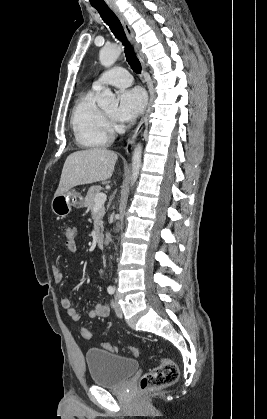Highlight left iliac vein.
Returning <instances> with one entry per match:
<instances>
[{"label": "left iliac vein", "mask_w": 267, "mask_h": 419, "mask_svg": "<svg viewBox=\"0 0 267 419\" xmlns=\"http://www.w3.org/2000/svg\"><path fill=\"white\" fill-rule=\"evenodd\" d=\"M115 312L118 317L122 318L123 312L119 303L117 302V296H115Z\"/></svg>", "instance_id": "4c4485c4"}]
</instances>
